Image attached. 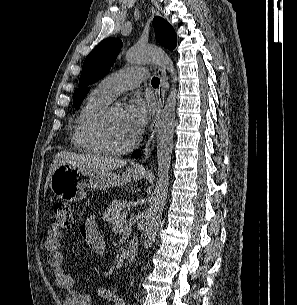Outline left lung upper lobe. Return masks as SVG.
<instances>
[{
    "label": "left lung upper lobe",
    "instance_id": "5c2ea615",
    "mask_svg": "<svg viewBox=\"0 0 297 305\" xmlns=\"http://www.w3.org/2000/svg\"><path fill=\"white\" fill-rule=\"evenodd\" d=\"M153 27L155 36L161 45L168 49H174L177 37L173 27L163 18L154 17ZM122 47V41L118 38H108L100 42L86 57L79 80V88L75 90L73 102L78 109L88 93V85L98 81L106 75L113 66Z\"/></svg>",
    "mask_w": 297,
    "mask_h": 305
}]
</instances>
